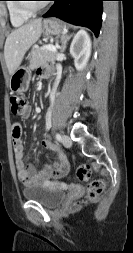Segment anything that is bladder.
<instances>
[{
    "label": "bladder",
    "mask_w": 133,
    "mask_h": 253,
    "mask_svg": "<svg viewBox=\"0 0 133 253\" xmlns=\"http://www.w3.org/2000/svg\"><path fill=\"white\" fill-rule=\"evenodd\" d=\"M22 195L26 200L35 201L44 207H58L64 200V191L53 185L33 184L22 190Z\"/></svg>",
    "instance_id": "31cf9c89"
}]
</instances>
